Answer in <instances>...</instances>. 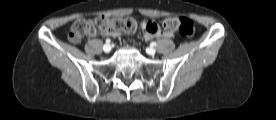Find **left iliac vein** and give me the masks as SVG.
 <instances>
[{"instance_id": "left-iliac-vein-1", "label": "left iliac vein", "mask_w": 276, "mask_h": 120, "mask_svg": "<svg viewBox=\"0 0 276 120\" xmlns=\"http://www.w3.org/2000/svg\"><path fill=\"white\" fill-rule=\"evenodd\" d=\"M146 52H147L149 55L154 56L155 53H156V50H155L154 48H152V47H149V48L146 49Z\"/></svg>"}]
</instances>
